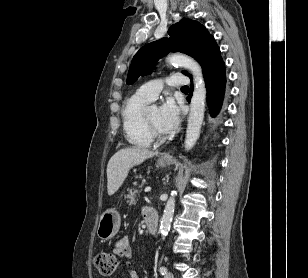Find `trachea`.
<instances>
[{
    "instance_id": "3493384b",
    "label": "trachea",
    "mask_w": 308,
    "mask_h": 278,
    "mask_svg": "<svg viewBox=\"0 0 308 278\" xmlns=\"http://www.w3.org/2000/svg\"><path fill=\"white\" fill-rule=\"evenodd\" d=\"M181 89H182V90H188L189 88H188V86H184V87H182Z\"/></svg>"
}]
</instances>
